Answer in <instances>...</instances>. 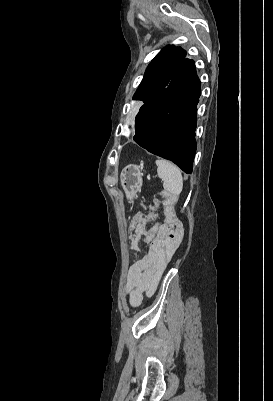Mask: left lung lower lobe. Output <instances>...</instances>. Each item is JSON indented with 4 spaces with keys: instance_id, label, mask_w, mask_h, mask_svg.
<instances>
[{
    "instance_id": "obj_1",
    "label": "left lung lower lobe",
    "mask_w": 273,
    "mask_h": 401,
    "mask_svg": "<svg viewBox=\"0 0 273 401\" xmlns=\"http://www.w3.org/2000/svg\"><path fill=\"white\" fill-rule=\"evenodd\" d=\"M200 81L193 60L185 59L168 86L141 106L133 140L149 152L173 161L191 173L196 152Z\"/></svg>"
}]
</instances>
